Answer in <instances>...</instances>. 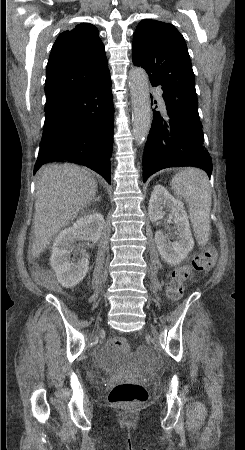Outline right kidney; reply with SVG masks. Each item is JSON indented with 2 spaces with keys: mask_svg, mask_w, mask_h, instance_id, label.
<instances>
[{
  "mask_svg": "<svg viewBox=\"0 0 245 450\" xmlns=\"http://www.w3.org/2000/svg\"><path fill=\"white\" fill-rule=\"evenodd\" d=\"M104 227V217L97 212L85 215L56 237L50 264L56 272L58 282L66 288L75 287L86 276L89 269V255L81 251L82 256L71 259L74 243L82 236L93 244L100 239Z\"/></svg>",
  "mask_w": 245,
  "mask_h": 450,
  "instance_id": "1",
  "label": "right kidney"
}]
</instances>
